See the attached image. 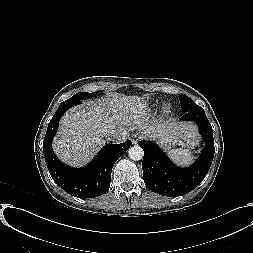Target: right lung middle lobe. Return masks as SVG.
<instances>
[{
  "label": "right lung middle lobe",
  "instance_id": "obj_1",
  "mask_svg": "<svg viewBox=\"0 0 253 253\" xmlns=\"http://www.w3.org/2000/svg\"><path fill=\"white\" fill-rule=\"evenodd\" d=\"M93 93H86V92H80L75 94L74 96H72L70 99H68L67 101H77V100H81L87 97L92 96Z\"/></svg>",
  "mask_w": 253,
  "mask_h": 253
}]
</instances>
